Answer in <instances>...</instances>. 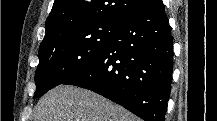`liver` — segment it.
I'll return each mask as SVG.
<instances>
[{
	"label": "liver",
	"mask_w": 217,
	"mask_h": 121,
	"mask_svg": "<svg viewBox=\"0 0 217 121\" xmlns=\"http://www.w3.org/2000/svg\"><path fill=\"white\" fill-rule=\"evenodd\" d=\"M34 121H139L123 107L90 90L60 85L37 103Z\"/></svg>",
	"instance_id": "liver-1"
}]
</instances>
